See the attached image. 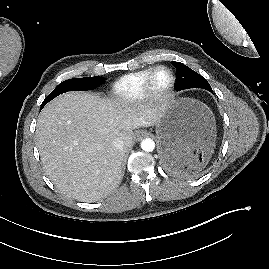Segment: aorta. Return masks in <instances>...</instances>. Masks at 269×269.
<instances>
[{"instance_id": "762f6f07", "label": "aorta", "mask_w": 269, "mask_h": 269, "mask_svg": "<svg viewBox=\"0 0 269 269\" xmlns=\"http://www.w3.org/2000/svg\"><path fill=\"white\" fill-rule=\"evenodd\" d=\"M141 149L146 152H152L155 149V142L150 138H146L141 142Z\"/></svg>"}]
</instances>
